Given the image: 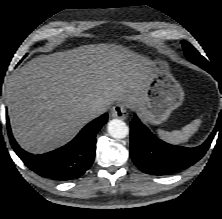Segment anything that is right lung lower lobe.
<instances>
[{
	"instance_id": "1",
	"label": "right lung lower lobe",
	"mask_w": 222,
	"mask_h": 219,
	"mask_svg": "<svg viewBox=\"0 0 222 219\" xmlns=\"http://www.w3.org/2000/svg\"><path fill=\"white\" fill-rule=\"evenodd\" d=\"M107 120L108 114H103L86 125L67 145L41 155L30 154L19 147L8 120L7 130L14 151L29 169L42 177L62 181L76 179L90 168L95 158L96 134Z\"/></svg>"
}]
</instances>
